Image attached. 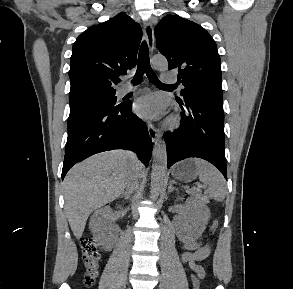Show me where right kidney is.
<instances>
[{"mask_svg":"<svg viewBox=\"0 0 293 289\" xmlns=\"http://www.w3.org/2000/svg\"><path fill=\"white\" fill-rule=\"evenodd\" d=\"M112 218V211L109 206L101 208L91 216L89 227L97 240H103L107 243L106 233L108 232V223Z\"/></svg>","mask_w":293,"mask_h":289,"instance_id":"ca27d5eb","label":"right kidney"}]
</instances>
